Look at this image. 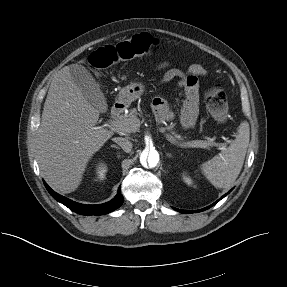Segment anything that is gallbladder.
I'll list each match as a JSON object with an SVG mask.
<instances>
[{
	"label": "gallbladder",
	"mask_w": 287,
	"mask_h": 287,
	"mask_svg": "<svg viewBox=\"0 0 287 287\" xmlns=\"http://www.w3.org/2000/svg\"><path fill=\"white\" fill-rule=\"evenodd\" d=\"M74 84L79 88L83 96L99 111L107 110L105 96L92 74L80 64L69 66Z\"/></svg>",
	"instance_id": "1"
}]
</instances>
